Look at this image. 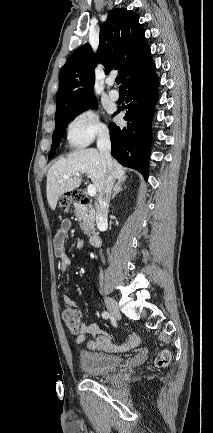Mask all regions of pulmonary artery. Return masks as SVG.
Masks as SVG:
<instances>
[{"label":"pulmonary artery","instance_id":"pulmonary-artery-1","mask_svg":"<svg viewBox=\"0 0 213 433\" xmlns=\"http://www.w3.org/2000/svg\"><path fill=\"white\" fill-rule=\"evenodd\" d=\"M113 83H114L113 80H110L108 82L109 86H111V87L113 86ZM108 95H109L110 99L113 100V101H117L119 99V92L117 90H115V89H111L108 92Z\"/></svg>","mask_w":213,"mask_h":433}]
</instances>
